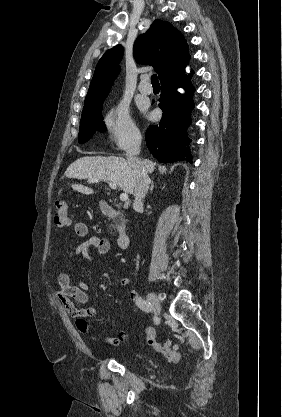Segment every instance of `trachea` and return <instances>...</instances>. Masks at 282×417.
<instances>
[{
    "label": "trachea",
    "mask_w": 282,
    "mask_h": 417,
    "mask_svg": "<svg viewBox=\"0 0 282 417\" xmlns=\"http://www.w3.org/2000/svg\"><path fill=\"white\" fill-rule=\"evenodd\" d=\"M151 84H152V86H155V87H159L160 86V84L158 82L157 75L155 73L151 77Z\"/></svg>",
    "instance_id": "trachea-1"
}]
</instances>
